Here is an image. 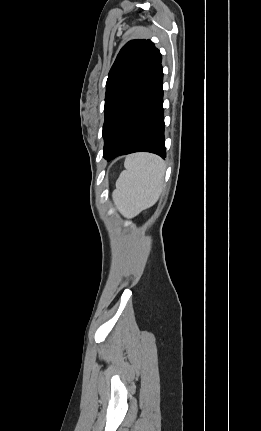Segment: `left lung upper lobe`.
<instances>
[{
	"mask_svg": "<svg viewBox=\"0 0 261 431\" xmlns=\"http://www.w3.org/2000/svg\"><path fill=\"white\" fill-rule=\"evenodd\" d=\"M161 61L159 50L150 40H131L120 50L106 83L103 125L105 158L113 148L129 104Z\"/></svg>",
	"mask_w": 261,
	"mask_h": 431,
	"instance_id": "left-lung-upper-lobe-1",
	"label": "left lung upper lobe"
}]
</instances>
